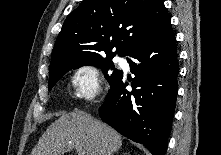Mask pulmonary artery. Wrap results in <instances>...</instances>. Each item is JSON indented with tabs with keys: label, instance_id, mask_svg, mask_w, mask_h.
<instances>
[{
	"label": "pulmonary artery",
	"instance_id": "obj_1",
	"mask_svg": "<svg viewBox=\"0 0 221 155\" xmlns=\"http://www.w3.org/2000/svg\"><path fill=\"white\" fill-rule=\"evenodd\" d=\"M118 63H119L120 65H124V64H125V61H124L123 59H118Z\"/></svg>",
	"mask_w": 221,
	"mask_h": 155
}]
</instances>
